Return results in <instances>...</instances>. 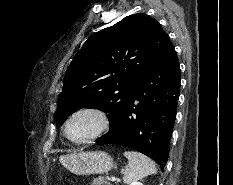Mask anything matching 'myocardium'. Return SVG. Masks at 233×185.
Returning <instances> with one entry per match:
<instances>
[{
	"label": "myocardium",
	"mask_w": 233,
	"mask_h": 185,
	"mask_svg": "<svg viewBox=\"0 0 233 185\" xmlns=\"http://www.w3.org/2000/svg\"><path fill=\"white\" fill-rule=\"evenodd\" d=\"M86 113L95 115L99 119V126H98L97 130L92 135L88 136L87 138H84L81 140H75V139L71 138L69 135L70 123L73 120V118H75L76 116H78L80 114H86ZM109 127H110L109 114L104 109H102L100 107L88 106V107H83V108L76 110L68 117V119L65 123L64 132H65L66 137L71 142H73L75 144H86V143L92 142V141L100 138L102 135H104L108 131Z\"/></svg>",
	"instance_id": "f54148a6"
}]
</instances>
